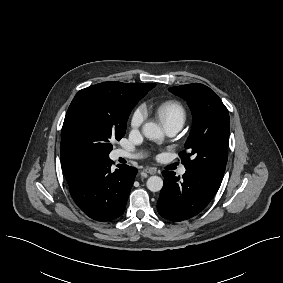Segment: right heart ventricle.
Returning <instances> with one entry per match:
<instances>
[{
  "instance_id": "obj_1",
  "label": "right heart ventricle",
  "mask_w": 283,
  "mask_h": 283,
  "mask_svg": "<svg viewBox=\"0 0 283 283\" xmlns=\"http://www.w3.org/2000/svg\"><path fill=\"white\" fill-rule=\"evenodd\" d=\"M156 114L163 125L169 123L184 124L186 120V110L184 106L175 100H167L159 104L156 108Z\"/></svg>"
}]
</instances>
